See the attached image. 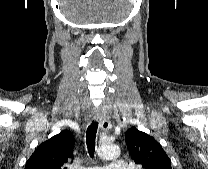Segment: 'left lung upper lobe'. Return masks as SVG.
Here are the masks:
<instances>
[{
	"label": "left lung upper lobe",
	"mask_w": 208,
	"mask_h": 169,
	"mask_svg": "<svg viewBox=\"0 0 208 169\" xmlns=\"http://www.w3.org/2000/svg\"><path fill=\"white\" fill-rule=\"evenodd\" d=\"M125 140L132 159L143 169H172L162 146L150 135L132 127L126 131Z\"/></svg>",
	"instance_id": "left-lung-upper-lobe-1"
}]
</instances>
